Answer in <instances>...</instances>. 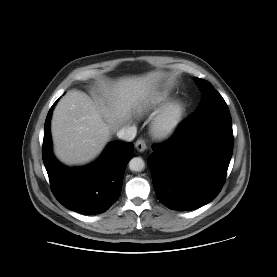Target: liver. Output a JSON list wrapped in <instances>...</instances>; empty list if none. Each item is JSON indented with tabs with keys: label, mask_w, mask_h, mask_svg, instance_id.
<instances>
[{
	"label": "liver",
	"mask_w": 277,
	"mask_h": 277,
	"mask_svg": "<svg viewBox=\"0 0 277 277\" xmlns=\"http://www.w3.org/2000/svg\"><path fill=\"white\" fill-rule=\"evenodd\" d=\"M160 75L150 73L103 84L95 101L83 92H68L55 107L51 122L58 159L67 165L94 160L111 133L128 120L131 112L154 98Z\"/></svg>",
	"instance_id": "6515ba94"
}]
</instances>
